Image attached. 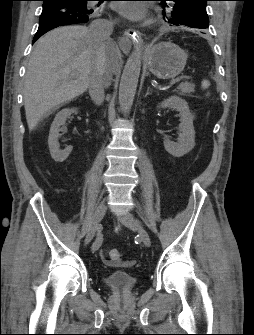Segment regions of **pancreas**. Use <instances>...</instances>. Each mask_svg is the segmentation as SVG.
<instances>
[{"instance_id":"obj_1","label":"pancreas","mask_w":254,"mask_h":335,"mask_svg":"<svg viewBox=\"0 0 254 335\" xmlns=\"http://www.w3.org/2000/svg\"><path fill=\"white\" fill-rule=\"evenodd\" d=\"M194 84L190 82H182L178 86L179 94L182 96H191V93L194 92Z\"/></svg>"}]
</instances>
